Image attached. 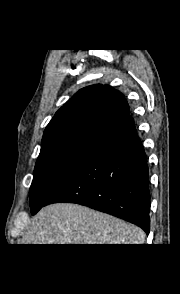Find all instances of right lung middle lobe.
Here are the masks:
<instances>
[{
	"mask_svg": "<svg viewBox=\"0 0 180 294\" xmlns=\"http://www.w3.org/2000/svg\"><path fill=\"white\" fill-rule=\"evenodd\" d=\"M98 144L94 140H70L40 151L29 191L32 212L45 205Z\"/></svg>",
	"mask_w": 180,
	"mask_h": 294,
	"instance_id": "dd1d6c3e",
	"label": "right lung middle lobe"
}]
</instances>
